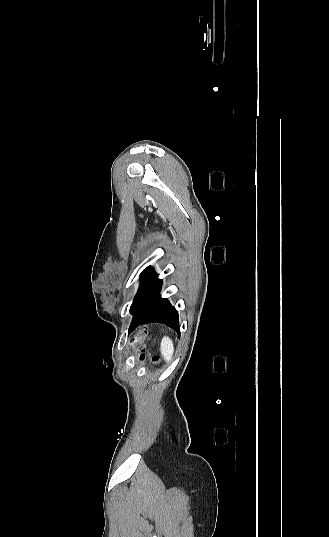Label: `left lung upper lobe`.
Instances as JSON below:
<instances>
[{
	"mask_svg": "<svg viewBox=\"0 0 329 537\" xmlns=\"http://www.w3.org/2000/svg\"><path fill=\"white\" fill-rule=\"evenodd\" d=\"M158 275L154 271L152 267L145 268L142 273L140 274V287L138 289V292L136 296L134 297L133 304L130 307V310L138 304V302L141 300L143 293L147 289V287L150 285V283L157 277Z\"/></svg>",
	"mask_w": 329,
	"mask_h": 537,
	"instance_id": "left-lung-upper-lobe-1",
	"label": "left lung upper lobe"
}]
</instances>
